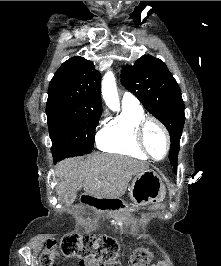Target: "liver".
<instances>
[{
  "label": "liver",
  "mask_w": 221,
  "mask_h": 266,
  "mask_svg": "<svg viewBox=\"0 0 221 266\" xmlns=\"http://www.w3.org/2000/svg\"><path fill=\"white\" fill-rule=\"evenodd\" d=\"M148 169L142 161L116 154H94L87 159L69 158L56 166L59 178L56 192L63 199L80 189L93 197L119 199L133 176Z\"/></svg>",
  "instance_id": "1"
}]
</instances>
